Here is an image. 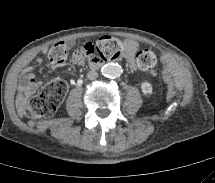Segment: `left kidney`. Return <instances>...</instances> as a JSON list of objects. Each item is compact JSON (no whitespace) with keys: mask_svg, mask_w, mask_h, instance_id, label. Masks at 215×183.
Segmentation results:
<instances>
[{"mask_svg":"<svg viewBox=\"0 0 215 183\" xmlns=\"http://www.w3.org/2000/svg\"><path fill=\"white\" fill-rule=\"evenodd\" d=\"M142 92L147 95L152 93V85L149 82H143L141 84Z\"/></svg>","mask_w":215,"mask_h":183,"instance_id":"left-kidney-1","label":"left kidney"}]
</instances>
